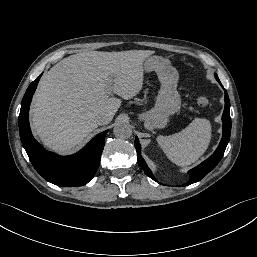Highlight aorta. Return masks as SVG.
I'll return each instance as SVG.
<instances>
[{"label": "aorta", "mask_w": 257, "mask_h": 257, "mask_svg": "<svg viewBox=\"0 0 257 257\" xmlns=\"http://www.w3.org/2000/svg\"><path fill=\"white\" fill-rule=\"evenodd\" d=\"M113 133L117 138L128 139L132 135V127L128 122H118L113 129Z\"/></svg>", "instance_id": "1"}]
</instances>
